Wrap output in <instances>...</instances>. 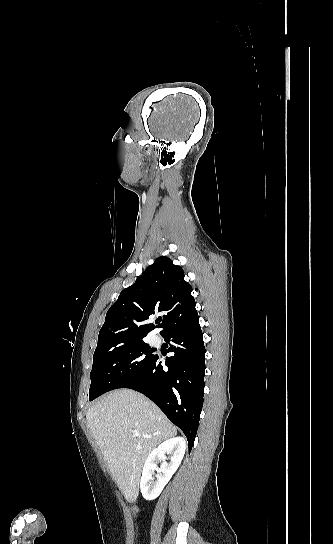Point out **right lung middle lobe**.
Returning a JSON list of instances; mask_svg holds the SVG:
<instances>
[{"label": "right lung middle lobe", "mask_w": 333, "mask_h": 544, "mask_svg": "<svg viewBox=\"0 0 333 544\" xmlns=\"http://www.w3.org/2000/svg\"><path fill=\"white\" fill-rule=\"evenodd\" d=\"M143 338L109 341L98 346L93 355L89 400L139 379L156 355Z\"/></svg>", "instance_id": "dd1d6c3e"}]
</instances>
